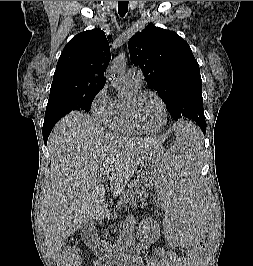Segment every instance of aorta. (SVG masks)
I'll use <instances>...</instances> for the list:
<instances>
[{
  "instance_id": "1",
  "label": "aorta",
  "mask_w": 253,
  "mask_h": 266,
  "mask_svg": "<svg viewBox=\"0 0 253 266\" xmlns=\"http://www.w3.org/2000/svg\"><path fill=\"white\" fill-rule=\"evenodd\" d=\"M125 61V53L120 54L118 58L109 64L105 73V76L111 82V85L121 92L125 90V81L123 76Z\"/></svg>"
}]
</instances>
